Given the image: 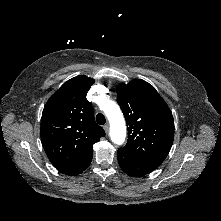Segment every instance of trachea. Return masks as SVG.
Masks as SVG:
<instances>
[{
	"label": "trachea",
	"instance_id": "3493384b",
	"mask_svg": "<svg viewBox=\"0 0 221 221\" xmlns=\"http://www.w3.org/2000/svg\"><path fill=\"white\" fill-rule=\"evenodd\" d=\"M96 121L99 125H104L106 122V119L103 114L99 113L96 115Z\"/></svg>",
	"mask_w": 221,
	"mask_h": 221
}]
</instances>
